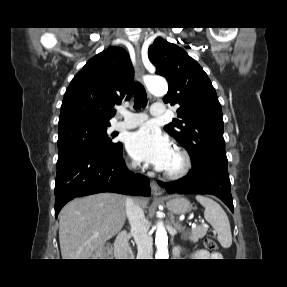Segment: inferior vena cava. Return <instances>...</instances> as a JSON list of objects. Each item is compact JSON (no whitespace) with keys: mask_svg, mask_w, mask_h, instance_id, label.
Wrapping results in <instances>:
<instances>
[{"mask_svg":"<svg viewBox=\"0 0 287 287\" xmlns=\"http://www.w3.org/2000/svg\"><path fill=\"white\" fill-rule=\"evenodd\" d=\"M135 167V164H132ZM126 215L131 226V233L134 235L137 244V259H151L152 256V236L148 234L149 223L145 218L144 211L133 199L126 198Z\"/></svg>","mask_w":287,"mask_h":287,"instance_id":"obj_1","label":"inferior vena cava"}]
</instances>
